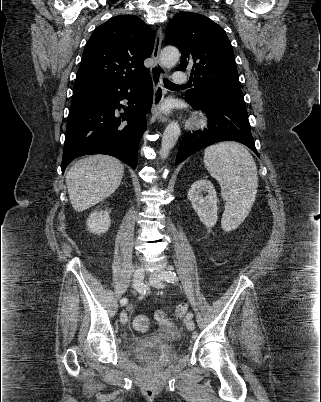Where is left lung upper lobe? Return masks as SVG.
I'll return each instance as SVG.
<instances>
[{
  "label": "left lung upper lobe",
  "mask_w": 321,
  "mask_h": 402,
  "mask_svg": "<svg viewBox=\"0 0 321 402\" xmlns=\"http://www.w3.org/2000/svg\"><path fill=\"white\" fill-rule=\"evenodd\" d=\"M165 37L181 52L179 70L192 68L194 88L186 93L188 102H200L215 91H241L231 43L218 24L203 15L182 12L170 20Z\"/></svg>",
  "instance_id": "1"
}]
</instances>
